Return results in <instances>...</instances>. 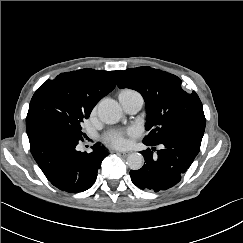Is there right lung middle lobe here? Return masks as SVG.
Instances as JSON below:
<instances>
[{"mask_svg": "<svg viewBox=\"0 0 243 243\" xmlns=\"http://www.w3.org/2000/svg\"><path fill=\"white\" fill-rule=\"evenodd\" d=\"M90 113L91 111L83 109L59 89L43 84L31 99L26 122L50 121L81 138V123L89 118Z\"/></svg>", "mask_w": 243, "mask_h": 243, "instance_id": "dd1d6c3e", "label": "right lung middle lobe"}]
</instances>
